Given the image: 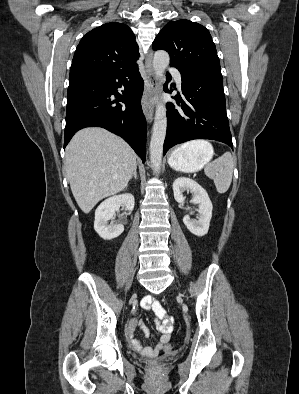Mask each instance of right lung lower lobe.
Segmentation results:
<instances>
[{"instance_id":"right-lung-lower-lobe-1","label":"right lung lower lobe","mask_w":299,"mask_h":394,"mask_svg":"<svg viewBox=\"0 0 299 394\" xmlns=\"http://www.w3.org/2000/svg\"><path fill=\"white\" fill-rule=\"evenodd\" d=\"M143 85L138 66L71 80L67 93L64 148L78 130L102 127L121 136L145 162ZM121 87H124L122 94L118 93Z\"/></svg>"}]
</instances>
